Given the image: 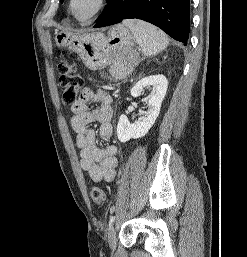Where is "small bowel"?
<instances>
[{
	"mask_svg": "<svg viewBox=\"0 0 247 257\" xmlns=\"http://www.w3.org/2000/svg\"><path fill=\"white\" fill-rule=\"evenodd\" d=\"M89 102L99 103L100 106L90 110ZM71 113L70 124L76 133L81 169L93 182L113 181L118 164L117 148L114 145L99 147L96 143L97 137L109 140L113 135L111 96L103 90L94 91L85 87L72 103ZM94 122L99 124L97 131L90 127Z\"/></svg>",
	"mask_w": 247,
	"mask_h": 257,
	"instance_id": "small-bowel-1",
	"label": "small bowel"
}]
</instances>
